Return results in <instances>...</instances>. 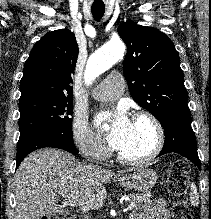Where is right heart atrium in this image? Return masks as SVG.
Listing matches in <instances>:
<instances>
[{
    "label": "right heart atrium",
    "instance_id": "right-heart-atrium-1",
    "mask_svg": "<svg viewBox=\"0 0 211 219\" xmlns=\"http://www.w3.org/2000/svg\"><path fill=\"white\" fill-rule=\"evenodd\" d=\"M72 137L74 144L84 156L94 160H103L108 155L107 147L84 118H74Z\"/></svg>",
    "mask_w": 211,
    "mask_h": 219
}]
</instances>
